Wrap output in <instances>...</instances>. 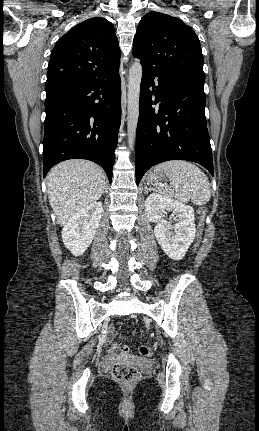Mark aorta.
Segmentation results:
<instances>
[{"label": "aorta", "mask_w": 259, "mask_h": 431, "mask_svg": "<svg viewBox=\"0 0 259 431\" xmlns=\"http://www.w3.org/2000/svg\"><path fill=\"white\" fill-rule=\"evenodd\" d=\"M142 78V66L140 62L132 65L129 71L128 84V116L127 132L128 144L132 148L135 142L136 128L139 117V93Z\"/></svg>", "instance_id": "aorta-1"}]
</instances>
